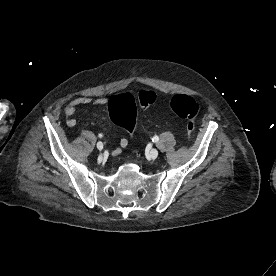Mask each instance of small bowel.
<instances>
[{
	"mask_svg": "<svg viewBox=\"0 0 276 276\" xmlns=\"http://www.w3.org/2000/svg\"><path fill=\"white\" fill-rule=\"evenodd\" d=\"M108 99L106 97H90V96H80L76 97L69 102V104L65 108L66 122L67 125L73 127L77 124V119L74 114L78 110L80 106L83 105H93V106H103L106 105ZM128 145L127 139L123 138L118 143V146L111 151V156L119 155L122 150Z\"/></svg>",
	"mask_w": 276,
	"mask_h": 276,
	"instance_id": "c3829d8e",
	"label": "small bowel"
}]
</instances>
